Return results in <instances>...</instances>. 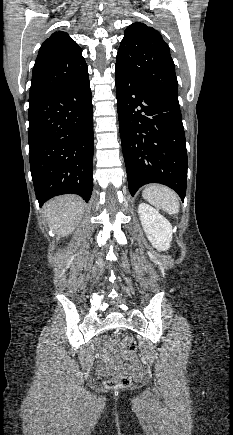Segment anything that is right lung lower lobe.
Listing matches in <instances>:
<instances>
[{"label":"right lung lower lobe","mask_w":233,"mask_h":435,"mask_svg":"<svg viewBox=\"0 0 233 435\" xmlns=\"http://www.w3.org/2000/svg\"><path fill=\"white\" fill-rule=\"evenodd\" d=\"M30 169L42 206L67 193L88 201L93 189V107L88 72L29 104Z\"/></svg>","instance_id":"obj_1"}]
</instances>
